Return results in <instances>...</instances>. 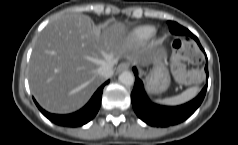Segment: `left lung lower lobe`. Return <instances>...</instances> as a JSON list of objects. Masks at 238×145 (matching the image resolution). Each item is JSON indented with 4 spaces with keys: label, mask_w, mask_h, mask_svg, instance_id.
I'll list each match as a JSON object with an SVG mask.
<instances>
[{
    "label": "left lung lower lobe",
    "mask_w": 238,
    "mask_h": 145,
    "mask_svg": "<svg viewBox=\"0 0 238 145\" xmlns=\"http://www.w3.org/2000/svg\"><path fill=\"white\" fill-rule=\"evenodd\" d=\"M171 23V33L192 37L197 42L201 50H203L198 38L188 29L182 27L176 22ZM133 71L136 75V79L134 89L131 93L132 106L137 116L148 125L155 127H168L179 124L195 112L205 97L207 84L196 98L186 104L175 107L157 105L152 103L147 97L142 81L137 76V70L135 67L133 68ZM205 72L208 80V62H206Z\"/></svg>",
    "instance_id": "0a47b994"
}]
</instances>
